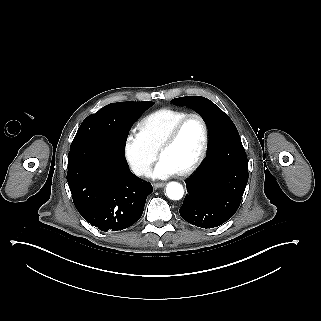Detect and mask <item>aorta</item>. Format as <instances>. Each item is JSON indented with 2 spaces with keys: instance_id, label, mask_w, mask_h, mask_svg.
Returning <instances> with one entry per match:
<instances>
[{
  "instance_id": "1",
  "label": "aorta",
  "mask_w": 321,
  "mask_h": 321,
  "mask_svg": "<svg viewBox=\"0 0 321 321\" xmlns=\"http://www.w3.org/2000/svg\"><path fill=\"white\" fill-rule=\"evenodd\" d=\"M166 195L171 200H179L184 195L183 186L177 182H170L166 188Z\"/></svg>"
}]
</instances>
